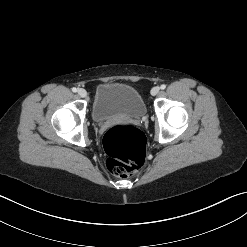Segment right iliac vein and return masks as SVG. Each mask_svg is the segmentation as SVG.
Masks as SVG:
<instances>
[{"instance_id":"1","label":"right iliac vein","mask_w":247,"mask_h":247,"mask_svg":"<svg viewBox=\"0 0 247 247\" xmlns=\"http://www.w3.org/2000/svg\"><path fill=\"white\" fill-rule=\"evenodd\" d=\"M78 95H79L80 97L84 98V97L87 96V92H86L85 89L80 88V89L78 90Z\"/></svg>"}]
</instances>
